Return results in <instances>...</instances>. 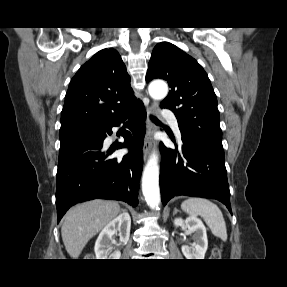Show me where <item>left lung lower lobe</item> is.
<instances>
[{"label": "left lung lower lobe", "mask_w": 287, "mask_h": 287, "mask_svg": "<svg viewBox=\"0 0 287 287\" xmlns=\"http://www.w3.org/2000/svg\"><path fill=\"white\" fill-rule=\"evenodd\" d=\"M181 134L183 144L179 147L175 144V150L160 144L162 203L166 205L171 198L180 195L211 198L225 204L231 212L224 151Z\"/></svg>", "instance_id": "1"}]
</instances>
